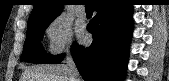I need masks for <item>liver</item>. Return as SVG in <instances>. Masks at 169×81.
Wrapping results in <instances>:
<instances>
[{
	"label": "liver",
	"instance_id": "obj_1",
	"mask_svg": "<svg viewBox=\"0 0 169 81\" xmlns=\"http://www.w3.org/2000/svg\"><path fill=\"white\" fill-rule=\"evenodd\" d=\"M65 64L33 66L26 69L21 81H70Z\"/></svg>",
	"mask_w": 169,
	"mask_h": 81
}]
</instances>
